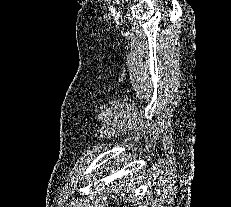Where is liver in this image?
<instances>
[{"label": "liver", "instance_id": "1", "mask_svg": "<svg viewBox=\"0 0 231 207\" xmlns=\"http://www.w3.org/2000/svg\"><path fill=\"white\" fill-rule=\"evenodd\" d=\"M138 180H139V178L137 176H136V178L133 176H131L130 178L121 177V178L117 179V182L115 184H112V187L113 188H122L125 192L131 193V191H133V189H132L133 185Z\"/></svg>", "mask_w": 231, "mask_h": 207}]
</instances>
